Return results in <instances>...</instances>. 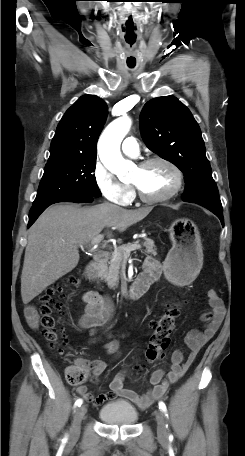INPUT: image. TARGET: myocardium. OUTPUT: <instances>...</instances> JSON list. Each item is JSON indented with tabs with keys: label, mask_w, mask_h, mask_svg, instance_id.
Here are the masks:
<instances>
[{
	"label": "myocardium",
	"mask_w": 245,
	"mask_h": 456,
	"mask_svg": "<svg viewBox=\"0 0 245 456\" xmlns=\"http://www.w3.org/2000/svg\"><path fill=\"white\" fill-rule=\"evenodd\" d=\"M154 163H162V164L168 166L175 175V184L172 187V189L169 192H167L166 194L153 197V196L146 195L136 184L132 183L139 199L145 203H150V204L165 202V201H168V200L172 199L173 197H175L180 192V190L183 186V180H184L183 172L181 171V169L174 162H172L171 160L164 158V157L156 156V157L147 158V159L141 161L138 164V167L145 168Z\"/></svg>",
	"instance_id": "myocardium-1"
}]
</instances>
